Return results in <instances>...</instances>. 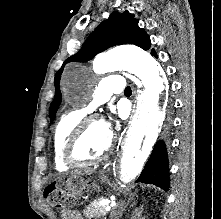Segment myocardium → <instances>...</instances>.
<instances>
[{
	"label": "myocardium",
	"instance_id": "obj_1",
	"mask_svg": "<svg viewBox=\"0 0 221 219\" xmlns=\"http://www.w3.org/2000/svg\"><path fill=\"white\" fill-rule=\"evenodd\" d=\"M93 122H100V118L98 116H90L84 118L80 121V123L74 128L71 135L69 136L63 151V158L67 164L71 167L75 168H86L89 166H93L104 161L114 150L115 147V137L112 133H109V144L106 150L99 156L91 159V160H81L78 158L76 154V150L78 144L81 140V137L85 131V129Z\"/></svg>",
	"mask_w": 221,
	"mask_h": 219
}]
</instances>
